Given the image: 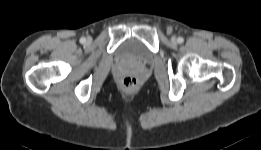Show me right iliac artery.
Returning <instances> with one entry per match:
<instances>
[{
    "instance_id": "82829eb1",
    "label": "right iliac artery",
    "mask_w": 261,
    "mask_h": 150,
    "mask_svg": "<svg viewBox=\"0 0 261 150\" xmlns=\"http://www.w3.org/2000/svg\"><path fill=\"white\" fill-rule=\"evenodd\" d=\"M86 42V39L84 38V37H82L81 39H80V43H85Z\"/></svg>"
}]
</instances>
